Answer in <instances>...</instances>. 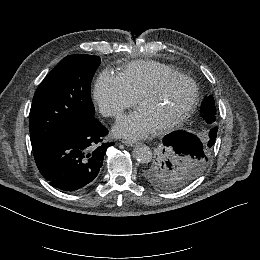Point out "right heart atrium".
<instances>
[{"label": "right heart atrium", "mask_w": 260, "mask_h": 260, "mask_svg": "<svg viewBox=\"0 0 260 260\" xmlns=\"http://www.w3.org/2000/svg\"><path fill=\"white\" fill-rule=\"evenodd\" d=\"M94 98L105 117L118 118L125 109L135 104L134 97L113 71H102L96 80Z\"/></svg>", "instance_id": "d8ad5b80"}]
</instances>
